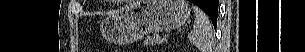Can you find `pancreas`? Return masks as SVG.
I'll list each match as a JSON object with an SVG mask.
<instances>
[{"label":"pancreas","mask_w":305,"mask_h":52,"mask_svg":"<svg viewBox=\"0 0 305 52\" xmlns=\"http://www.w3.org/2000/svg\"><path fill=\"white\" fill-rule=\"evenodd\" d=\"M162 43V39L159 35L154 34L152 36H148L144 41V45H157Z\"/></svg>","instance_id":"cf45deb5"}]
</instances>
